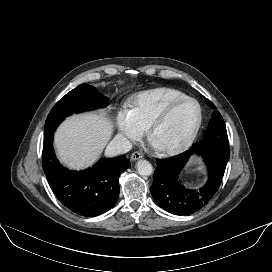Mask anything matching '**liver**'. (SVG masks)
Wrapping results in <instances>:
<instances>
[{
  "label": "liver",
  "instance_id": "1",
  "mask_svg": "<svg viewBox=\"0 0 272 272\" xmlns=\"http://www.w3.org/2000/svg\"><path fill=\"white\" fill-rule=\"evenodd\" d=\"M112 131V121L103 113H84L67 118L55 133L59 159L72 169L91 165L102 153Z\"/></svg>",
  "mask_w": 272,
  "mask_h": 272
}]
</instances>
